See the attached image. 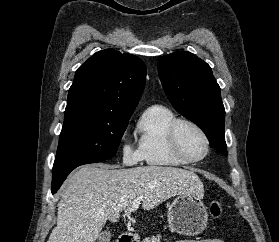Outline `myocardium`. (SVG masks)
Returning a JSON list of instances; mask_svg holds the SVG:
<instances>
[{
	"label": "myocardium",
	"mask_w": 279,
	"mask_h": 242,
	"mask_svg": "<svg viewBox=\"0 0 279 242\" xmlns=\"http://www.w3.org/2000/svg\"><path fill=\"white\" fill-rule=\"evenodd\" d=\"M184 125L190 126L194 130H196L200 134V136L203 138V140L205 142V152L201 157H198V158L189 157L182 150V148L180 146V142H179V130ZM167 137H168V143H169V146H170L172 152L174 153V155L177 158H179L184 163L193 164V163L201 162L209 154L210 139H209L207 133L199 124H197L196 122H194L190 119L177 118L176 120H174L168 129Z\"/></svg>",
	"instance_id": "1"
}]
</instances>
